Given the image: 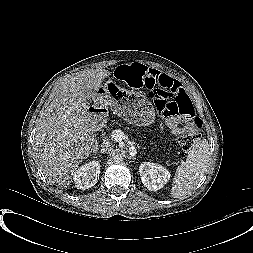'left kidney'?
<instances>
[{
  "mask_svg": "<svg viewBox=\"0 0 253 253\" xmlns=\"http://www.w3.org/2000/svg\"><path fill=\"white\" fill-rule=\"evenodd\" d=\"M139 172L142 183L150 191L161 189L170 178V172L157 163L143 162Z\"/></svg>",
  "mask_w": 253,
  "mask_h": 253,
  "instance_id": "5707ae66",
  "label": "left kidney"
}]
</instances>
